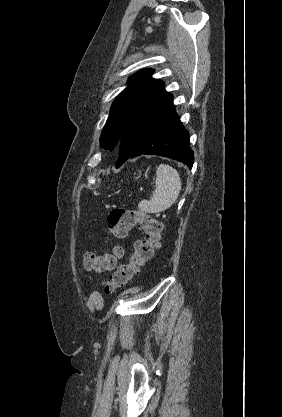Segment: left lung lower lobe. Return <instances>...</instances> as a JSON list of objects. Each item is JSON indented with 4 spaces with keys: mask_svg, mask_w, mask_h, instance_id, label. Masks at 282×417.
Returning <instances> with one entry per match:
<instances>
[{
    "mask_svg": "<svg viewBox=\"0 0 282 417\" xmlns=\"http://www.w3.org/2000/svg\"><path fill=\"white\" fill-rule=\"evenodd\" d=\"M173 96L164 90V83L148 96L128 117L118 143L120 167L127 159L159 155L193 166L189 133L179 120Z\"/></svg>",
    "mask_w": 282,
    "mask_h": 417,
    "instance_id": "left-lung-lower-lobe-1",
    "label": "left lung lower lobe"
}]
</instances>
